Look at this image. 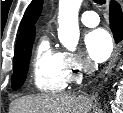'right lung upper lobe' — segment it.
<instances>
[{
  "mask_svg": "<svg viewBox=\"0 0 123 113\" xmlns=\"http://www.w3.org/2000/svg\"><path fill=\"white\" fill-rule=\"evenodd\" d=\"M43 0H32L28 6L19 27L16 46L35 37V23L42 11Z\"/></svg>",
  "mask_w": 123,
  "mask_h": 113,
  "instance_id": "cb5924a9",
  "label": "right lung upper lobe"
}]
</instances>
